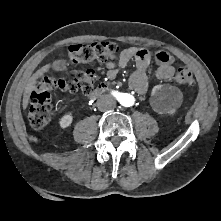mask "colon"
Wrapping results in <instances>:
<instances>
[{"label":"colon","instance_id":"5ec220e1","mask_svg":"<svg viewBox=\"0 0 221 221\" xmlns=\"http://www.w3.org/2000/svg\"><path fill=\"white\" fill-rule=\"evenodd\" d=\"M120 46L115 42H94L92 44H74L70 46L68 58L71 63H88L93 60H109L116 57ZM96 75L92 70L77 73L72 79L43 77L38 80L30 92L29 122L33 128L45 127L52 117V93L56 90L84 93L92 91ZM175 81L191 86L194 78L191 70L181 67L175 74Z\"/></svg>","mask_w":221,"mask_h":221}]
</instances>
